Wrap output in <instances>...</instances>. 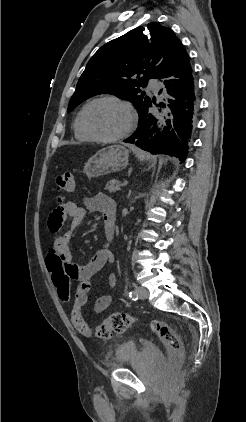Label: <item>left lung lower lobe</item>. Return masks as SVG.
<instances>
[{
    "mask_svg": "<svg viewBox=\"0 0 246 422\" xmlns=\"http://www.w3.org/2000/svg\"><path fill=\"white\" fill-rule=\"evenodd\" d=\"M162 78L165 79L168 94L172 96V99H169L172 115L171 120L166 121L167 127H164L161 133L157 132V118L149 111L152 102L155 103L153 100L139 115L137 131L124 142L135 143L153 154L163 152L184 161L187 157L188 143L195 130L198 96L190 57L183 45Z\"/></svg>",
    "mask_w": 246,
    "mask_h": 422,
    "instance_id": "0a47b994",
    "label": "left lung lower lobe"
}]
</instances>
